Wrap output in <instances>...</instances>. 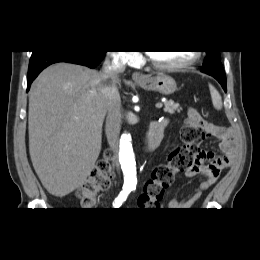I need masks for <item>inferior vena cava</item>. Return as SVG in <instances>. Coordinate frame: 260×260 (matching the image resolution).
<instances>
[{
    "mask_svg": "<svg viewBox=\"0 0 260 260\" xmlns=\"http://www.w3.org/2000/svg\"><path fill=\"white\" fill-rule=\"evenodd\" d=\"M126 58L119 51L108 52L101 70V83L99 85L107 108L106 135L108 144L114 150L121 129V99L117 88L119 74L124 72Z\"/></svg>",
    "mask_w": 260,
    "mask_h": 260,
    "instance_id": "602c4592",
    "label": "inferior vena cava"
}]
</instances>
